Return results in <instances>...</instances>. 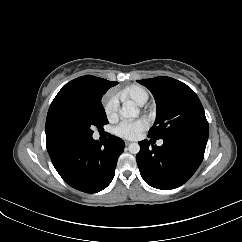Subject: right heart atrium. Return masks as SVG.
Instances as JSON below:
<instances>
[{
    "label": "right heart atrium",
    "instance_id": "right-heart-atrium-1",
    "mask_svg": "<svg viewBox=\"0 0 242 242\" xmlns=\"http://www.w3.org/2000/svg\"><path fill=\"white\" fill-rule=\"evenodd\" d=\"M103 110L108 120H114L118 116L119 100L114 93H108L103 98Z\"/></svg>",
    "mask_w": 242,
    "mask_h": 242
}]
</instances>
